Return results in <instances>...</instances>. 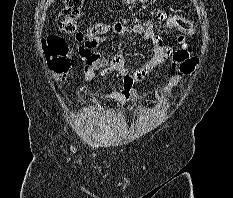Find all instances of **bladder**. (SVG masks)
Segmentation results:
<instances>
[{
  "label": "bladder",
  "mask_w": 233,
  "mask_h": 198,
  "mask_svg": "<svg viewBox=\"0 0 233 198\" xmlns=\"http://www.w3.org/2000/svg\"><path fill=\"white\" fill-rule=\"evenodd\" d=\"M118 117L105 111L85 112L80 121L83 136L92 143H101L118 132Z\"/></svg>",
  "instance_id": "31cf9c89"
}]
</instances>
